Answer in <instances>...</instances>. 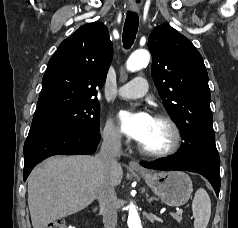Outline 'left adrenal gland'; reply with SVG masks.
Returning a JSON list of instances; mask_svg holds the SVG:
<instances>
[{
  "label": "left adrenal gland",
  "mask_w": 238,
  "mask_h": 228,
  "mask_svg": "<svg viewBox=\"0 0 238 228\" xmlns=\"http://www.w3.org/2000/svg\"><path fill=\"white\" fill-rule=\"evenodd\" d=\"M147 200H148V202H151L153 200H156V198H154V197L148 198V195H147Z\"/></svg>",
  "instance_id": "a2214340"
}]
</instances>
